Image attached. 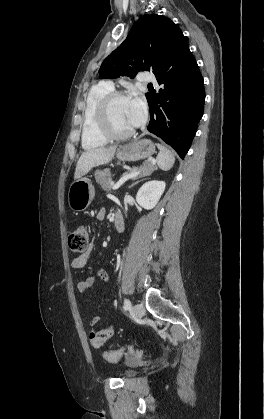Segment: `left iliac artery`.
Here are the masks:
<instances>
[{"instance_id": "44dca946", "label": "left iliac artery", "mask_w": 264, "mask_h": 419, "mask_svg": "<svg viewBox=\"0 0 264 419\" xmlns=\"http://www.w3.org/2000/svg\"><path fill=\"white\" fill-rule=\"evenodd\" d=\"M131 308V302L129 299H124V310H129Z\"/></svg>"}]
</instances>
